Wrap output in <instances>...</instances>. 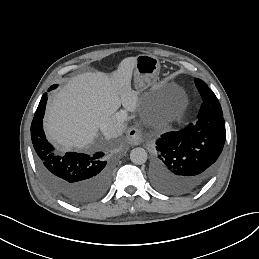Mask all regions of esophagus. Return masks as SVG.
Here are the masks:
<instances>
[{"mask_svg":"<svg viewBox=\"0 0 259 259\" xmlns=\"http://www.w3.org/2000/svg\"><path fill=\"white\" fill-rule=\"evenodd\" d=\"M126 139L130 145H139L143 141L141 130L137 127H131L126 134Z\"/></svg>","mask_w":259,"mask_h":259,"instance_id":"esophagus-1","label":"esophagus"}]
</instances>
